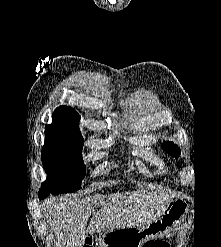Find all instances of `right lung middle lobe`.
<instances>
[{
    "mask_svg": "<svg viewBox=\"0 0 221 247\" xmlns=\"http://www.w3.org/2000/svg\"><path fill=\"white\" fill-rule=\"evenodd\" d=\"M45 136L41 158L47 180L40 190L57 195L81 189L85 175L83 137L49 131H45Z\"/></svg>",
    "mask_w": 221,
    "mask_h": 247,
    "instance_id": "dd1d6c3e",
    "label": "right lung middle lobe"
}]
</instances>
